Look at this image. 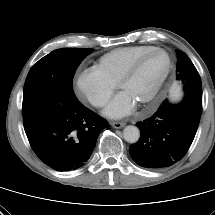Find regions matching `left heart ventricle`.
I'll return each mask as SVG.
<instances>
[{"instance_id": "obj_1", "label": "left heart ventricle", "mask_w": 215, "mask_h": 215, "mask_svg": "<svg viewBox=\"0 0 215 215\" xmlns=\"http://www.w3.org/2000/svg\"><path fill=\"white\" fill-rule=\"evenodd\" d=\"M168 66V58L162 53L150 56L138 69L134 77L123 85L121 92L137 104H141L155 88Z\"/></svg>"}]
</instances>
